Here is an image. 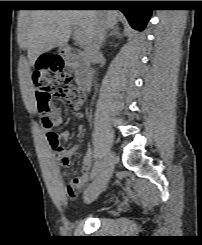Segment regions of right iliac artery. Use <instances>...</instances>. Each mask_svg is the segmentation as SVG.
<instances>
[{"label": "right iliac artery", "mask_w": 202, "mask_h": 245, "mask_svg": "<svg viewBox=\"0 0 202 245\" xmlns=\"http://www.w3.org/2000/svg\"><path fill=\"white\" fill-rule=\"evenodd\" d=\"M104 160H98L96 161L95 163V170H96V173L99 172L104 164Z\"/></svg>", "instance_id": "82829eb1"}]
</instances>
